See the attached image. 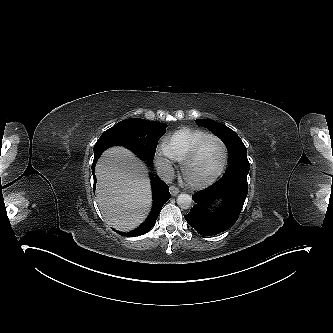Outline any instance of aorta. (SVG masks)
<instances>
[{"label":"aorta","mask_w":333,"mask_h":333,"mask_svg":"<svg viewBox=\"0 0 333 333\" xmlns=\"http://www.w3.org/2000/svg\"><path fill=\"white\" fill-rule=\"evenodd\" d=\"M177 204L182 209H188L192 204V197L189 194L182 193L177 197Z\"/></svg>","instance_id":"aorta-1"}]
</instances>
